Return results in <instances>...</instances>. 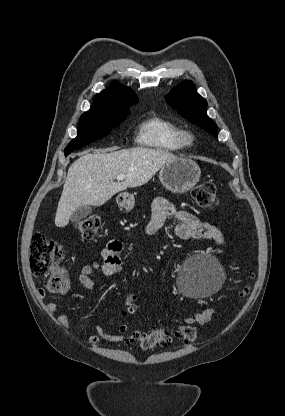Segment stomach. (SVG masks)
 Listing matches in <instances>:
<instances>
[{"mask_svg":"<svg viewBox=\"0 0 285 416\" xmlns=\"http://www.w3.org/2000/svg\"><path fill=\"white\" fill-rule=\"evenodd\" d=\"M200 176L201 170L196 162L189 160V158H178V160H172L162 166L159 180L166 190H170L174 194H184L196 186ZM118 204L123 206L125 210H132L135 200L132 196L123 194V196H119Z\"/></svg>","mask_w":285,"mask_h":416,"instance_id":"stomach-1","label":"stomach"}]
</instances>
